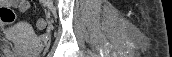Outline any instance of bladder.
Instances as JSON below:
<instances>
[{"mask_svg": "<svg viewBox=\"0 0 172 57\" xmlns=\"http://www.w3.org/2000/svg\"><path fill=\"white\" fill-rule=\"evenodd\" d=\"M16 52H3L2 54H0V56L2 57H19L17 55H15Z\"/></svg>", "mask_w": 172, "mask_h": 57, "instance_id": "31cf9c89", "label": "bladder"}]
</instances>
